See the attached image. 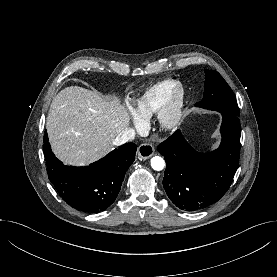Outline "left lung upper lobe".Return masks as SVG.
I'll list each match as a JSON object with an SVG mask.
<instances>
[{
    "mask_svg": "<svg viewBox=\"0 0 277 277\" xmlns=\"http://www.w3.org/2000/svg\"><path fill=\"white\" fill-rule=\"evenodd\" d=\"M202 108L239 115V108L233 91L216 71L205 70V91L201 102Z\"/></svg>",
    "mask_w": 277,
    "mask_h": 277,
    "instance_id": "5c2ea615",
    "label": "left lung upper lobe"
}]
</instances>
